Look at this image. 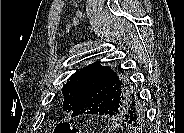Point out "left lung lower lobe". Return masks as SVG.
Instances as JSON below:
<instances>
[{"label":"left lung lower lobe","instance_id":"left-lung-lower-lobe-1","mask_svg":"<svg viewBox=\"0 0 184 133\" xmlns=\"http://www.w3.org/2000/svg\"><path fill=\"white\" fill-rule=\"evenodd\" d=\"M130 82H125L114 69L102 66L99 62L94 85L73 110L72 117L84 114L104 115L120 118L132 127L141 126L132 110L140 94L137 87Z\"/></svg>","mask_w":184,"mask_h":133}]
</instances>
